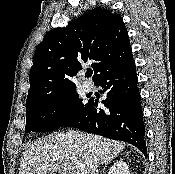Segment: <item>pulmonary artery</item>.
Here are the masks:
<instances>
[{"mask_svg":"<svg viewBox=\"0 0 175 174\" xmlns=\"http://www.w3.org/2000/svg\"><path fill=\"white\" fill-rule=\"evenodd\" d=\"M83 87L87 92H90L94 89V85L91 82H84Z\"/></svg>","mask_w":175,"mask_h":174,"instance_id":"obj_1","label":"pulmonary artery"}]
</instances>
